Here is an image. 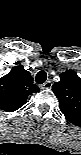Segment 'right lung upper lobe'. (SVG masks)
I'll return each mask as SVG.
<instances>
[{
  "label": "right lung upper lobe",
  "mask_w": 81,
  "mask_h": 155,
  "mask_svg": "<svg viewBox=\"0 0 81 155\" xmlns=\"http://www.w3.org/2000/svg\"><path fill=\"white\" fill-rule=\"evenodd\" d=\"M38 91L30 72L22 65L16 66L0 78V108L14 112L25 104L29 95Z\"/></svg>",
  "instance_id": "obj_1"
}]
</instances>
